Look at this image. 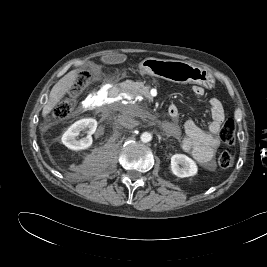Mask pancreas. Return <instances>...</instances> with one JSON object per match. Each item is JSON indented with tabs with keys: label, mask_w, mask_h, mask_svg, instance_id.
Returning <instances> with one entry per match:
<instances>
[{
	"label": "pancreas",
	"mask_w": 267,
	"mask_h": 267,
	"mask_svg": "<svg viewBox=\"0 0 267 267\" xmlns=\"http://www.w3.org/2000/svg\"><path fill=\"white\" fill-rule=\"evenodd\" d=\"M150 86L144 82H130L128 93L132 96L142 95L146 98H150Z\"/></svg>",
	"instance_id": "obj_1"
}]
</instances>
